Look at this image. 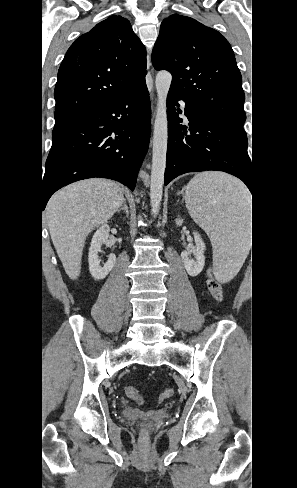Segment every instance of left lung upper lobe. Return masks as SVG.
<instances>
[{
	"label": "left lung upper lobe",
	"instance_id": "5c2ea615",
	"mask_svg": "<svg viewBox=\"0 0 297 488\" xmlns=\"http://www.w3.org/2000/svg\"><path fill=\"white\" fill-rule=\"evenodd\" d=\"M156 70L172 74L170 91L203 115L243 130L245 94L229 42L195 19H164L152 53Z\"/></svg>",
	"mask_w": 297,
	"mask_h": 488
}]
</instances>
